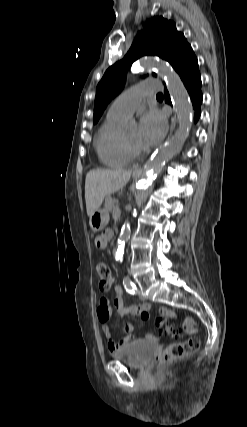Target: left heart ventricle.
<instances>
[{
    "instance_id": "1",
    "label": "left heart ventricle",
    "mask_w": 247,
    "mask_h": 427,
    "mask_svg": "<svg viewBox=\"0 0 247 427\" xmlns=\"http://www.w3.org/2000/svg\"><path fill=\"white\" fill-rule=\"evenodd\" d=\"M126 140L129 142L131 146L137 149H142V147L139 144V138H138V130L134 129L129 131L125 134Z\"/></svg>"
}]
</instances>
